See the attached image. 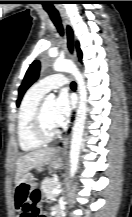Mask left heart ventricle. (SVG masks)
I'll list each match as a JSON object with an SVG mask.
<instances>
[{"label":"left heart ventricle","mask_w":132,"mask_h":217,"mask_svg":"<svg viewBox=\"0 0 132 217\" xmlns=\"http://www.w3.org/2000/svg\"><path fill=\"white\" fill-rule=\"evenodd\" d=\"M55 101L53 99H46L44 106V123L49 131L56 128L53 122V109Z\"/></svg>","instance_id":"obj_1"}]
</instances>
